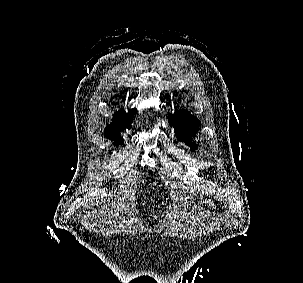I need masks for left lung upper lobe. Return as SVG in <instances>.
<instances>
[{
    "label": "left lung upper lobe",
    "instance_id": "left-lung-upper-lobe-1",
    "mask_svg": "<svg viewBox=\"0 0 303 283\" xmlns=\"http://www.w3.org/2000/svg\"><path fill=\"white\" fill-rule=\"evenodd\" d=\"M169 123L176 130V137L191 146V150H196L197 146L192 142V137L199 128L200 121L186 110H180L169 116Z\"/></svg>",
    "mask_w": 303,
    "mask_h": 283
}]
</instances>
